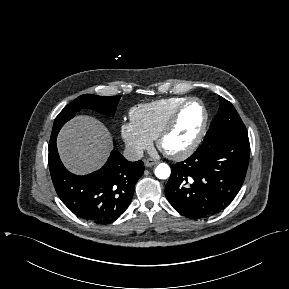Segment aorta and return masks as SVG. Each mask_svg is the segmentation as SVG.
Listing matches in <instances>:
<instances>
[{
    "label": "aorta",
    "instance_id": "obj_1",
    "mask_svg": "<svg viewBox=\"0 0 289 289\" xmlns=\"http://www.w3.org/2000/svg\"><path fill=\"white\" fill-rule=\"evenodd\" d=\"M171 174V169L166 163H160L155 169V176L159 179H167Z\"/></svg>",
    "mask_w": 289,
    "mask_h": 289
}]
</instances>
